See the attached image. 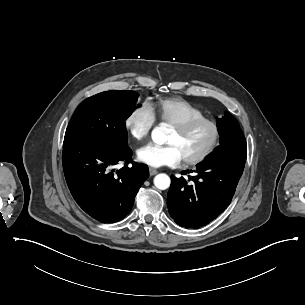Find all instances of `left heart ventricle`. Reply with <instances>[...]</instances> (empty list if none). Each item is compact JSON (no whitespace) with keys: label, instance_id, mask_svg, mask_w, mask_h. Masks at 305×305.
I'll return each mask as SVG.
<instances>
[{"label":"left heart ventricle","instance_id":"obj_1","mask_svg":"<svg viewBox=\"0 0 305 305\" xmlns=\"http://www.w3.org/2000/svg\"><path fill=\"white\" fill-rule=\"evenodd\" d=\"M213 138L212 125L204 123L186 132H179L171 127L166 142L175 145L179 149L182 159H185L202 153L212 143Z\"/></svg>","mask_w":305,"mask_h":305}]
</instances>
